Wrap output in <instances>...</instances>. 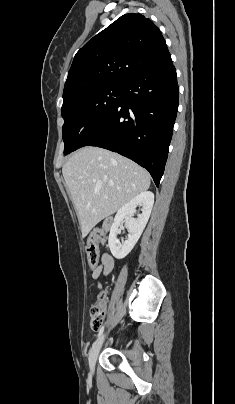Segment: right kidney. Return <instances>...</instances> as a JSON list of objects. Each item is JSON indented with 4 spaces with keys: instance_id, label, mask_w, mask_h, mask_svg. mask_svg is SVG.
<instances>
[{
    "instance_id": "ca27d5eb",
    "label": "right kidney",
    "mask_w": 235,
    "mask_h": 404,
    "mask_svg": "<svg viewBox=\"0 0 235 404\" xmlns=\"http://www.w3.org/2000/svg\"><path fill=\"white\" fill-rule=\"evenodd\" d=\"M154 204V194L150 191H145L134 197L129 203L121 207L111 226L108 244L112 255L117 259L126 257L135 244L139 240L151 214ZM142 206L141 214L138 218H134L136 207ZM127 219L126 228L128 229V238L120 243L117 239V234L123 226V220Z\"/></svg>"
}]
</instances>
